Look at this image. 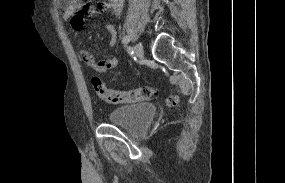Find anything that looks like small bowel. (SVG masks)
<instances>
[{
	"label": "small bowel",
	"instance_id": "small-bowel-1",
	"mask_svg": "<svg viewBox=\"0 0 285 183\" xmlns=\"http://www.w3.org/2000/svg\"><path fill=\"white\" fill-rule=\"evenodd\" d=\"M65 1L62 18L69 21L75 31L83 29L85 22L105 13L120 16L124 0H96L93 4L81 3L80 0H63ZM107 30L110 34V47L116 45L117 28L115 25H109ZM81 56L87 67L98 73H107L114 69L119 62L117 56L108 59L97 60L94 55L87 50H81Z\"/></svg>",
	"mask_w": 285,
	"mask_h": 183
}]
</instances>
